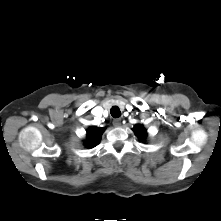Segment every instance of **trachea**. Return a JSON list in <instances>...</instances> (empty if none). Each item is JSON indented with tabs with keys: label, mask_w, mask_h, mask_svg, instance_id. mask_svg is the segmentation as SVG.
<instances>
[{
	"label": "trachea",
	"mask_w": 221,
	"mask_h": 221,
	"mask_svg": "<svg viewBox=\"0 0 221 221\" xmlns=\"http://www.w3.org/2000/svg\"><path fill=\"white\" fill-rule=\"evenodd\" d=\"M110 113H111L112 117H114V118H118L121 115V111L117 106H113L110 109Z\"/></svg>",
	"instance_id": "3493384b"
}]
</instances>
